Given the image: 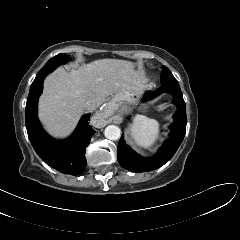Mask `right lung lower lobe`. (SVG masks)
I'll return each mask as SVG.
<instances>
[{"mask_svg": "<svg viewBox=\"0 0 240 240\" xmlns=\"http://www.w3.org/2000/svg\"><path fill=\"white\" fill-rule=\"evenodd\" d=\"M45 77L46 75H43L30 87L25 113L28 137L34 150L45 163L62 173L78 175L86 168L85 148L95 132L88 123L90 114L81 118L69 139L56 141L48 136L37 117L38 98L42 93Z\"/></svg>", "mask_w": 240, "mask_h": 240, "instance_id": "1", "label": "right lung lower lobe"}]
</instances>
